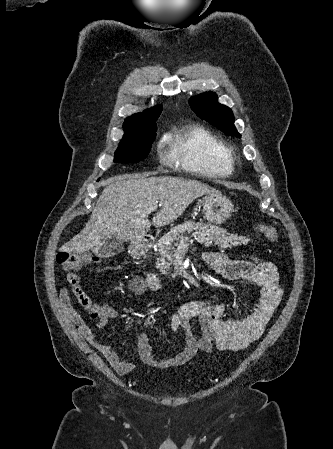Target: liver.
I'll return each instance as SVG.
<instances>
[{"instance_id": "1", "label": "liver", "mask_w": 333, "mask_h": 449, "mask_svg": "<svg viewBox=\"0 0 333 449\" xmlns=\"http://www.w3.org/2000/svg\"><path fill=\"white\" fill-rule=\"evenodd\" d=\"M219 193L200 181L179 177L121 175L110 179L83 230L60 251L87 252L110 237L121 241L139 240L150 229L149 207L160 204L152 224L167 225L197 198Z\"/></svg>"}]
</instances>
